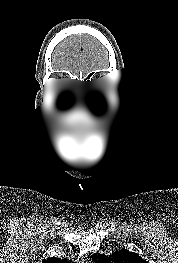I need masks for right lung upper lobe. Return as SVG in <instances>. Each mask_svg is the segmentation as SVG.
<instances>
[{
    "label": "right lung upper lobe",
    "instance_id": "right-lung-upper-lobe-1",
    "mask_svg": "<svg viewBox=\"0 0 178 263\" xmlns=\"http://www.w3.org/2000/svg\"><path fill=\"white\" fill-rule=\"evenodd\" d=\"M42 263H70V262L67 260L53 257V258H48L47 260H44Z\"/></svg>",
    "mask_w": 178,
    "mask_h": 263
}]
</instances>
